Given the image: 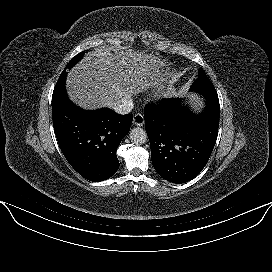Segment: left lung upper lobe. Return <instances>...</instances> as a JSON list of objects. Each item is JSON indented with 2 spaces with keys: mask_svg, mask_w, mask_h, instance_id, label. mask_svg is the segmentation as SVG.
<instances>
[{
  "mask_svg": "<svg viewBox=\"0 0 272 272\" xmlns=\"http://www.w3.org/2000/svg\"><path fill=\"white\" fill-rule=\"evenodd\" d=\"M191 89H193L197 92H200L203 90L214 89L213 84L208 79V77L206 76V74L202 68L199 69L198 78L192 84Z\"/></svg>",
  "mask_w": 272,
  "mask_h": 272,
  "instance_id": "1",
  "label": "left lung upper lobe"
}]
</instances>
